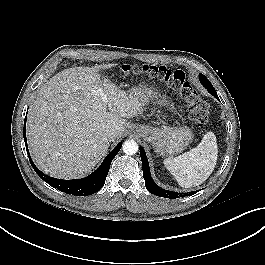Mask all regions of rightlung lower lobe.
<instances>
[{"mask_svg":"<svg viewBox=\"0 0 265 265\" xmlns=\"http://www.w3.org/2000/svg\"><path fill=\"white\" fill-rule=\"evenodd\" d=\"M24 140L30 163L33 169L35 170V172L39 175V177L44 179L53 188H57L62 192H66L76 196L94 194L104 186L105 179L109 172L110 164L122 146V143H119L114 148V150L107 155V157L104 159L100 167L89 176L82 179L62 180L53 177H48L43 172H41L33 163L29 154L27 140H26V118L24 121Z\"/></svg>","mask_w":265,"mask_h":265,"instance_id":"right-lung-lower-lobe-1","label":"right lung lower lobe"}]
</instances>
